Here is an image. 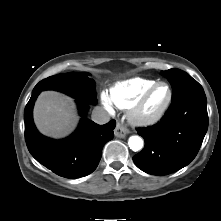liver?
<instances>
[{
    "label": "liver",
    "mask_w": 221,
    "mask_h": 221,
    "mask_svg": "<svg viewBox=\"0 0 221 221\" xmlns=\"http://www.w3.org/2000/svg\"><path fill=\"white\" fill-rule=\"evenodd\" d=\"M33 117L37 129L52 138L67 136L78 121L71 98L55 91H44L38 96Z\"/></svg>",
    "instance_id": "6515ba94"
}]
</instances>
